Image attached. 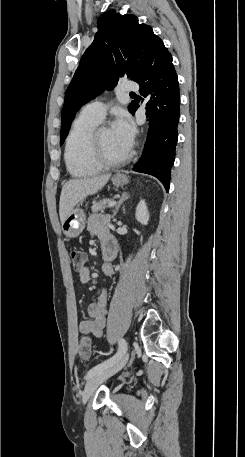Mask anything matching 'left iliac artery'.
<instances>
[{"mask_svg": "<svg viewBox=\"0 0 245 457\" xmlns=\"http://www.w3.org/2000/svg\"><path fill=\"white\" fill-rule=\"evenodd\" d=\"M126 351H127V343L124 339L121 338V339H119V349L116 352V354H114L109 359L103 361L102 363H99L96 366H94L93 368H91L86 375V379L89 378L93 374H96L104 369L111 367L122 357V355Z\"/></svg>", "mask_w": 245, "mask_h": 457, "instance_id": "left-iliac-artery-1", "label": "left iliac artery"}]
</instances>
